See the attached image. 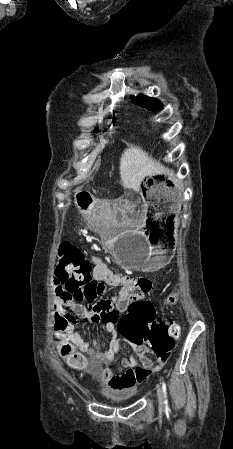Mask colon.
Instances as JSON below:
<instances>
[{
  "instance_id": "obj_1",
  "label": "colon",
  "mask_w": 233,
  "mask_h": 449,
  "mask_svg": "<svg viewBox=\"0 0 233 449\" xmlns=\"http://www.w3.org/2000/svg\"><path fill=\"white\" fill-rule=\"evenodd\" d=\"M59 258L58 272L64 278L66 294L71 295L76 302H86L87 305L96 303L98 299L93 294L97 283L92 279V266L82 251L68 242H63L59 248ZM179 292L177 289L166 298L167 308L176 305ZM112 309V313L102 315L113 319L111 325L118 329L120 338H126L127 343H135V349H148L156 355L170 354L180 336V329L172 319L163 320L157 317L155 310L146 301H130L129 306L123 307L122 310ZM90 311L94 313L93 310ZM74 319L71 313L57 315L56 331L62 342L61 355L72 366L80 368L83 366V359L73 353L65 334V328ZM166 324L170 325L169 329Z\"/></svg>"
}]
</instances>
